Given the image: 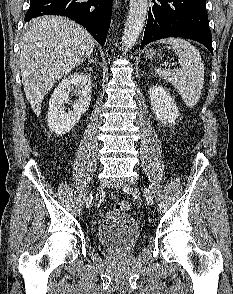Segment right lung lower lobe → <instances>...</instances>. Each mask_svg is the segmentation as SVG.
Instances as JSON below:
<instances>
[{
	"label": "right lung lower lobe",
	"mask_w": 233,
	"mask_h": 294,
	"mask_svg": "<svg viewBox=\"0 0 233 294\" xmlns=\"http://www.w3.org/2000/svg\"><path fill=\"white\" fill-rule=\"evenodd\" d=\"M112 0H30L25 21L42 15L66 16L86 28L104 45L110 26Z\"/></svg>",
	"instance_id": "98d812e1"
}]
</instances>
